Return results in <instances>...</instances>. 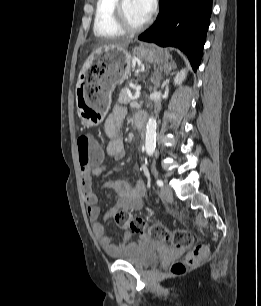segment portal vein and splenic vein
Listing matches in <instances>:
<instances>
[{
	"label": "portal vein and splenic vein",
	"mask_w": 261,
	"mask_h": 306,
	"mask_svg": "<svg viewBox=\"0 0 261 306\" xmlns=\"http://www.w3.org/2000/svg\"><path fill=\"white\" fill-rule=\"evenodd\" d=\"M140 89H141V86H138L135 95L131 96L132 100H136L140 96ZM130 105L135 107L137 105V103L135 101H133Z\"/></svg>",
	"instance_id": "portal-vein-and-splenic-vein-1"
}]
</instances>
